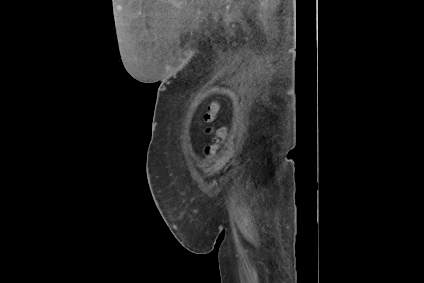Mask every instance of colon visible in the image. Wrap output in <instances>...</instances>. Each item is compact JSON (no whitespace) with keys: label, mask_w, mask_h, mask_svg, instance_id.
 Instances as JSON below:
<instances>
[{"label":"colon","mask_w":424,"mask_h":283,"mask_svg":"<svg viewBox=\"0 0 424 283\" xmlns=\"http://www.w3.org/2000/svg\"><path fill=\"white\" fill-rule=\"evenodd\" d=\"M218 113L219 103L217 101H212L211 103H209L203 114V120L208 124H212L216 120ZM206 132L211 136V143L205 147L204 153L205 158L210 159L215 155L217 150L225 141L227 130L225 127L209 125L206 128Z\"/></svg>","instance_id":"1"}]
</instances>
